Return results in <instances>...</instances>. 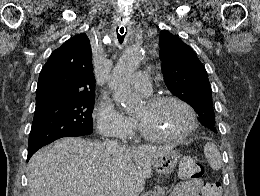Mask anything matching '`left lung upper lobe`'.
Returning a JSON list of instances; mask_svg holds the SVG:
<instances>
[{"instance_id":"5c2ea615","label":"left lung upper lobe","mask_w":260,"mask_h":196,"mask_svg":"<svg viewBox=\"0 0 260 196\" xmlns=\"http://www.w3.org/2000/svg\"><path fill=\"white\" fill-rule=\"evenodd\" d=\"M159 42L162 72L170 92L190 104L197 113L215 116L208 75L195 52L167 30L160 32ZM214 125L215 121L206 127L217 133Z\"/></svg>"}]
</instances>
